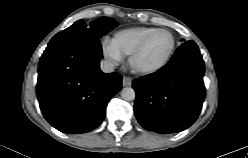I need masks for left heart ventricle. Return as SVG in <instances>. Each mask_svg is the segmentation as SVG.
<instances>
[{
  "instance_id": "left-heart-ventricle-1",
  "label": "left heart ventricle",
  "mask_w": 248,
  "mask_h": 158,
  "mask_svg": "<svg viewBox=\"0 0 248 158\" xmlns=\"http://www.w3.org/2000/svg\"><path fill=\"white\" fill-rule=\"evenodd\" d=\"M171 38L167 33L154 34L147 42L144 50L136 59V65L142 68L152 67L160 63L169 52Z\"/></svg>"
}]
</instances>
